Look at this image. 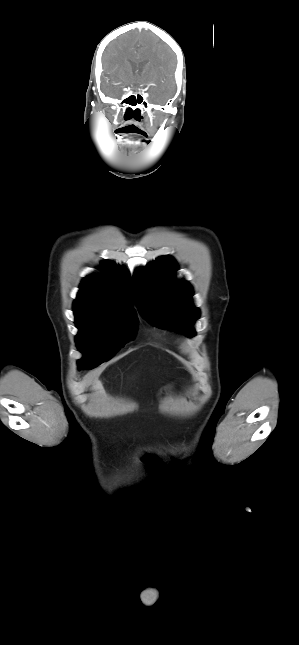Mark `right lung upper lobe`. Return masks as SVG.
I'll return each instance as SVG.
<instances>
[{
	"instance_id": "obj_1",
	"label": "right lung upper lobe",
	"mask_w": 299,
	"mask_h": 645,
	"mask_svg": "<svg viewBox=\"0 0 299 645\" xmlns=\"http://www.w3.org/2000/svg\"><path fill=\"white\" fill-rule=\"evenodd\" d=\"M101 276H88L83 279L73 308L80 311L107 310L130 313L133 309L130 276L113 263H101Z\"/></svg>"
}]
</instances>
